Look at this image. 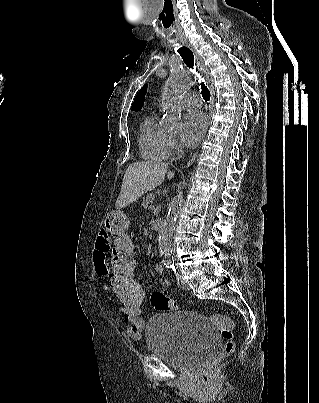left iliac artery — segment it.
Returning <instances> with one entry per match:
<instances>
[{"label": "left iliac artery", "instance_id": "left-iliac-artery-1", "mask_svg": "<svg viewBox=\"0 0 319 403\" xmlns=\"http://www.w3.org/2000/svg\"><path fill=\"white\" fill-rule=\"evenodd\" d=\"M172 270H173V272L176 274V268H175V266H174V263H173V266H172Z\"/></svg>", "mask_w": 319, "mask_h": 403}]
</instances>
